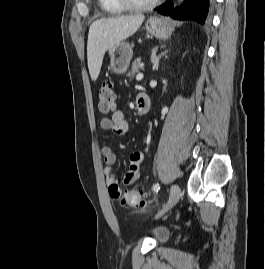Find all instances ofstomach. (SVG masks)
<instances>
[{
    "instance_id": "stomach-1",
    "label": "stomach",
    "mask_w": 265,
    "mask_h": 269,
    "mask_svg": "<svg viewBox=\"0 0 265 269\" xmlns=\"http://www.w3.org/2000/svg\"><path fill=\"white\" fill-rule=\"evenodd\" d=\"M146 30L156 38L167 39L171 36L173 27L168 19L151 17L146 23ZM110 69L116 74H123L127 71L132 55V47L127 42H120L109 49Z\"/></svg>"
}]
</instances>
